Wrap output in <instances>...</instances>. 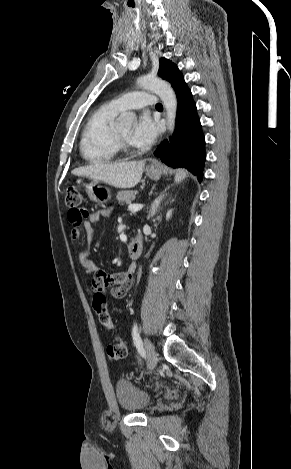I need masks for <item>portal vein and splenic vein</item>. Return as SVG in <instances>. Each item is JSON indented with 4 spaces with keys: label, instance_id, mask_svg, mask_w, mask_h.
Segmentation results:
<instances>
[{
    "label": "portal vein and splenic vein",
    "instance_id": "18ae733b",
    "mask_svg": "<svg viewBox=\"0 0 291 469\" xmlns=\"http://www.w3.org/2000/svg\"><path fill=\"white\" fill-rule=\"evenodd\" d=\"M142 207H143V205H141V204H130V205L128 206V210H130V211H132V212H136V211L141 210Z\"/></svg>",
    "mask_w": 291,
    "mask_h": 469
}]
</instances>
